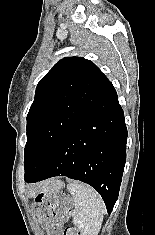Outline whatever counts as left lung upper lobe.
Returning <instances> with one entry per match:
<instances>
[{"instance_id":"obj_1","label":"left lung upper lobe","mask_w":155,"mask_h":235,"mask_svg":"<svg viewBox=\"0 0 155 235\" xmlns=\"http://www.w3.org/2000/svg\"><path fill=\"white\" fill-rule=\"evenodd\" d=\"M111 82L90 60L63 58L40 80L27 115L25 176L36 174Z\"/></svg>"}]
</instances>
